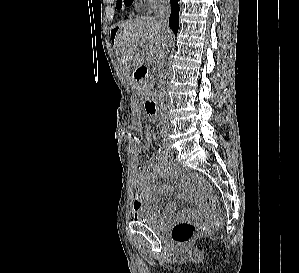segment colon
I'll return each instance as SVG.
<instances>
[{"label":"colon","instance_id":"1","mask_svg":"<svg viewBox=\"0 0 299 273\" xmlns=\"http://www.w3.org/2000/svg\"><path fill=\"white\" fill-rule=\"evenodd\" d=\"M152 145V136L144 135V149H149ZM205 211L210 221L208 223H192L181 221L176 223L171 230V237L177 244H186L196 236L205 234L211 227L219 223V207L215 196H208L205 199Z\"/></svg>","mask_w":299,"mask_h":273}]
</instances>
